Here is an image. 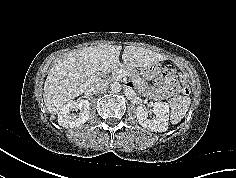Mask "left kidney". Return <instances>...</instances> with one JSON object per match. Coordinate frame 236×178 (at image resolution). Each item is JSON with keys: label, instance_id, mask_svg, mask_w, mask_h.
<instances>
[{"label": "left kidney", "instance_id": "1", "mask_svg": "<svg viewBox=\"0 0 236 178\" xmlns=\"http://www.w3.org/2000/svg\"><path fill=\"white\" fill-rule=\"evenodd\" d=\"M154 119H148V114L142 106H137L136 116L140 125L150 131L165 132L168 129L169 105L166 102H155L153 104Z\"/></svg>", "mask_w": 236, "mask_h": 178}]
</instances>
